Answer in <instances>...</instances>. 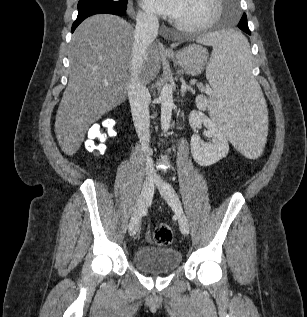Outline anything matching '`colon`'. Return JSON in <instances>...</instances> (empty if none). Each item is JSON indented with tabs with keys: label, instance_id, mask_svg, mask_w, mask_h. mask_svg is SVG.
<instances>
[{
	"label": "colon",
	"instance_id": "obj_1",
	"mask_svg": "<svg viewBox=\"0 0 307 317\" xmlns=\"http://www.w3.org/2000/svg\"><path fill=\"white\" fill-rule=\"evenodd\" d=\"M116 122L113 119H108L100 124L91 126L88 131L86 140V149L95 154L102 155L106 151L105 142L109 136L115 135ZM154 242L159 246H168L173 241V231L167 224L158 225L153 232Z\"/></svg>",
	"mask_w": 307,
	"mask_h": 317
}]
</instances>
